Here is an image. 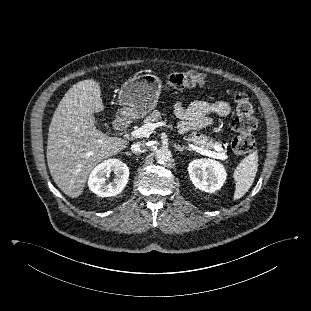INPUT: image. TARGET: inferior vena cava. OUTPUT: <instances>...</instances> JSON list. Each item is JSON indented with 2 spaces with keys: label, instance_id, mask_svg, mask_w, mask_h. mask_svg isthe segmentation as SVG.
<instances>
[{
  "label": "inferior vena cava",
  "instance_id": "inferior-vena-cava-1",
  "mask_svg": "<svg viewBox=\"0 0 311 311\" xmlns=\"http://www.w3.org/2000/svg\"><path fill=\"white\" fill-rule=\"evenodd\" d=\"M147 149L146 143H134L131 146V151L133 153H141L144 152Z\"/></svg>",
  "mask_w": 311,
  "mask_h": 311
}]
</instances>
